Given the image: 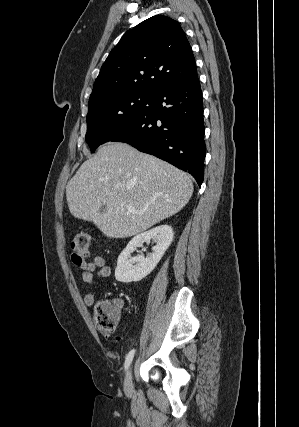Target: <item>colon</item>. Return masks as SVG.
<instances>
[{
	"label": "colon",
	"mask_w": 299,
	"mask_h": 427,
	"mask_svg": "<svg viewBox=\"0 0 299 427\" xmlns=\"http://www.w3.org/2000/svg\"><path fill=\"white\" fill-rule=\"evenodd\" d=\"M72 259L77 263L85 262L91 255V239L86 231H79L71 241ZM94 321L103 334H112L120 320L119 306L110 300H100L94 305Z\"/></svg>",
	"instance_id": "5ec220e1"
}]
</instances>
